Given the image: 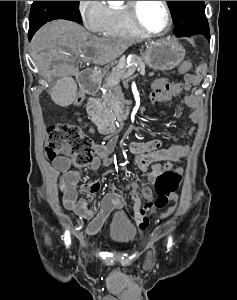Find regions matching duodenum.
Wrapping results in <instances>:
<instances>
[{
  "instance_id": "410a0bca",
  "label": "duodenum",
  "mask_w": 237,
  "mask_h": 300,
  "mask_svg": "<svg viewBox=\"0 0 237 300\" xmlns=\"http://www.w3.org/2000/svg\"><path fill=\"white\" fill-rule=\"evenodd\" d=\"M78 82L81 90L90 96L86 108L98 131L103 134H111L117 131L120 123L128 118L132 109L131 105H127L118 121H115L103 111L98 100L92 97L96 93L100 83L98 74L91 70L83 71L78 77Z\"/></svg>"
}]
</instances>
